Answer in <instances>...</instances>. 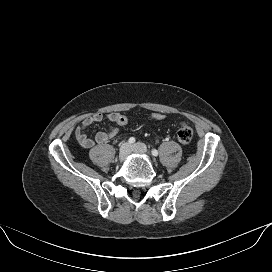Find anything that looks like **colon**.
Wrapping results in <instances>:
<instances>
[{"mask_svg":"<svg viewBox=\"0 0 272 272\" xmlns=\"http://www.w3.org/2000/svg\"><path fill=\"white\" fill-rule=\"evenodd\" d=\"M165 117L166 115L162 112H155L151 115V119L156 122L165 119ZM127 123H128V118L125 115L118 113L116 117V124H118L119 126H124ZM176 137H177V140L181 144H184V145L188 144L192 140L193 130L187 123L180 122L176 132Z\"/></svg>","mask_w":272,"mask_h":272,"instance_id":"1","label":"colon"}]
</instances>
